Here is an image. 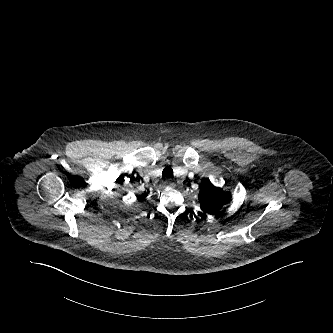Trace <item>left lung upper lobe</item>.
Segmentation results:
<instances>
[{"instance_id":"obj_1","label":"left lung upper lobe","mask_w":333,"mask_h":333,"mask_svg":"<svg viewBox=\"0 0 333 333\" xmlns=\"http://www.w3.org/2000/svg\"><path fill=\"white\" fill-rule=\"evenodd\" d=\"M200 208L203 214H217L219 210L231 200L230 192L215 187L209 180L201 186L198 194Z\"/></svg>"}]
</instances>
